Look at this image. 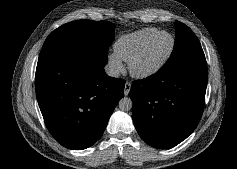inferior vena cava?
I'll list each match as a JSON object with an SVG mask.
<instances>
[{
	"label": "inferior vena cava",
	"instance_id": "1",
	"mask_svg": "<svg viewBox=\"0 0 237 169\" xmlns=\"http://www.w3.org/2000/svg\"><path fill=\"white\" fill-rule=\"evenodd\" d=\"M105 72H106V74H107L108 76H110V77H115V78H117V77H119V75H120L119 70H118L115 66L110 65V64H107V65L105 66Z\"/></svg>",
	"mask_w": 237,
	"mask_h": 169
}]
</instances>
